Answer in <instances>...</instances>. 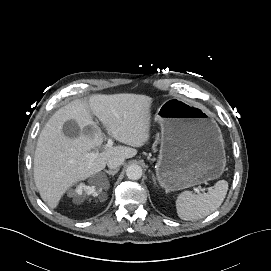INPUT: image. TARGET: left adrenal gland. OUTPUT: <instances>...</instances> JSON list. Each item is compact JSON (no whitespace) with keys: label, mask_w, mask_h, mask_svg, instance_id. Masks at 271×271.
Returning <instances> with one entry per match:
<instances>
[{"label":"left adrenal gland","mask_w":271,"mask_h":271,"mask_svg":"<svg viewBox=\"0 0 271 271\" xmlns=\"http://www.w3.org/2000/svg\"><path fill=\"white\" fill-rule=\"evenodd\" d=\"M152 178H153V181H154V183H156V180H155V177H154V175H152Z\"/></svg>","instance_id":"1"}]
</instances>
